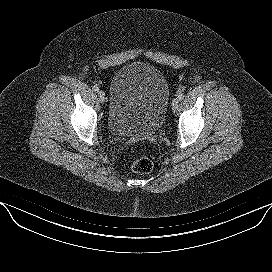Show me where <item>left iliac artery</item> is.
Returning <instances> with one entry per match:
<instances>
[{"instance_id": "left-iliac-artery-1", "label": "left iliac artery", "mask_w": 272, "mask_h": 272, "mask_svg": "<svg viewBox=\"0 0 272 272\" xmlns=\"http://www.w3.org/2000/svg\"><path fill=\"white\" fill-rule=\"evenodd\" d=\"M178 98H179V100H182L184 98V94L183 93H179Z\"/></svg>"}]
</instances>
